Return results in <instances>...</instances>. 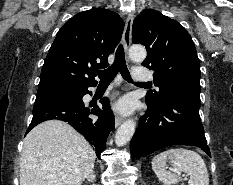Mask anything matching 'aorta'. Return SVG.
Returning a JSON list of instances; mask_svg holds the SVG:
<instances>
[{"instance_id":"762f6f07","label":"aorta","mask_w":233,"mask_h":185,"mask_svg":"<svg viewBox=\"0 0 233 185\" xmlns=\"http://www.w3.org/2000/svg\"><path fill=\"white\" fill-rule=\"evenodd\" d=\"M146 49L140 45H133L129 49V57L135 62H142L146 58ZM135 122L133 120L125 121L117 130L115 143L117 146L127 144L135 132Z\"/></svg>"}]
</instances>
